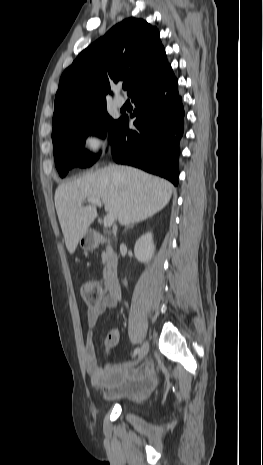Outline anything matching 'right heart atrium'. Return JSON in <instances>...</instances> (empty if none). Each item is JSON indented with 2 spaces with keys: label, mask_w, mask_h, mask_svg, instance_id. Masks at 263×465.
Masks as SVG:
<instances>
[{
  "label": "right heart atrium",
  "mask_w": 263,
  "mask_h": 465,
  "mask_svg": "<svg viewBox=\"0 0 263 465\" xmlns=\"http://www.w3.org/2000/svg\"><path fill=\"white\" fill-rule=\"evenodd\" d=\"M109 145V138L104 126L91 124L81 135V146L84 154L90 158L101 155Z\"/></svg>",
  "instance_id": "d8ad5b80"
}]
</instances>
